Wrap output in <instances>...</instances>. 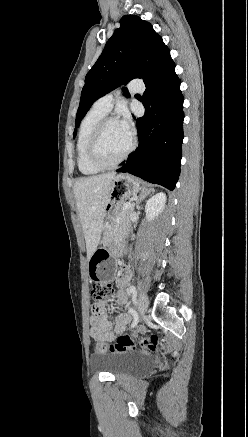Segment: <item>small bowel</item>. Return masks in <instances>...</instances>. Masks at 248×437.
<instances>
[{"instance_id":"obj_1","label":"small bowel","mask_w":248,"mask_h":437,"mask_svg":"<svg viewBox=\"0 0 248 437\" xmlns=\"http://www.w3.org/2000/svg\"><path fill=\"white\" fill-rule=\"evenodd\" d=\"M129 279V271L123 268L119 272L118 291L116 294V301L119 305H127V297L123 291L124 285ZM108 302L96 303L92 308V315L90 317L89 335L96 341L111 342L114 340L116 334H121L125 331L126 325L130 321L128 313H120L116 318L115 328L109 320L106 312Z\"/></svg>"}]
</instances>
